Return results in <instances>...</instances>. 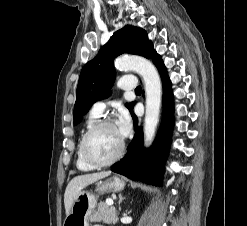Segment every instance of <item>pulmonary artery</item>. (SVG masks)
Returning <instances> with one entry per match:
<instances>
[{"label": "pulmonary artery", "instance_id": "obj_1", "mask_svg": "<svg viewBox=\"0 0 247 226\" xmlns=\"http://www.w3.org/2000/svg\"><path fill=\"white\" fill-rule=\"evenodd\" d=\"M118 87L122 90H133L137 87V81L134 76L127 75L120 78L118 81ZM107 102L105 100L96 101L92 106V112L97 115H101L105 108Z\"/></svg>", "mask_w": 247, "mask_h": 226}]
</instances>
